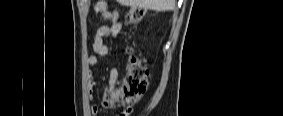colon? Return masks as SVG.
Returning <instances> with one entry per match:
<instances>
[{"label": "colon", "mask_w": 283, "mask_h": 116, "mask_svg": "<svg viewBox=\"0 0 283 116\" xmlns=\"http://www.w3.org/2000/svg\"><path fill=\"white\" fill-rule=\"evenodd\" d=\"M144 17V10L138 6H132L126 13V23L129 26L138 25ZM147 89V68L144 60L131 51L127 67V74L122 85L114 91L108 90L103 94V104L106 107H113L121 104L130 108L146 92ZM130 110V109H129ZM129 110L124 114L129 115Z\"/></svg>", "instance_id": "obj_1"}]
</instances>
